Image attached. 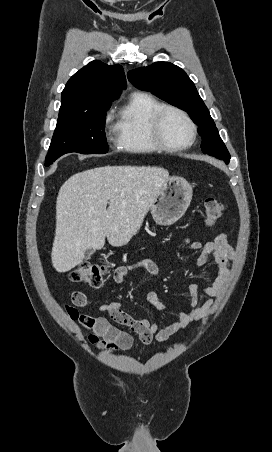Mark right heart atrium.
Listing matches in <instances>:
<instances>
[{"label": "right heart atrium", "mask_w": 272, "mask_h": 452, "mask_svg": "<svg viewBox=\"0 0 272 452\" xmlns=\"http://www.w3.org/2000/svg\"><path fill=\"white\" fill-rule=\"evenodd\" d=\"M111 119H112V112H111V111H108V112L106 113V115H105V118H104L105 123H106V124L109 123V122L111 121ZM106 136H107L108 139H111V134H110V133H107ZM114 142L118 144V139H117V140H114Z\"/></svg>", "instance_id": "obj_1"}]
</instances>
